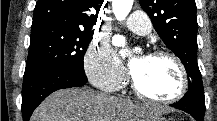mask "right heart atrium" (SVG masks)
<instances>
[{
  "label": "right heart atrium",
  "mask_w": 217,
  "mask_h": 121,
  "mask_svg": "<svg viewBox=\"0 0 217 121\" xmlns=\"http://www.w3.org/2000/svg\"><path fill=\"white\" fill-rule=\"evenodd\" d=\"M84 69L97 87L115 91L125 82V71L105 39L92 44L84 56Z\"/></svg>",
  "instance_id": "d8ad5b80"
}]
</instances>
